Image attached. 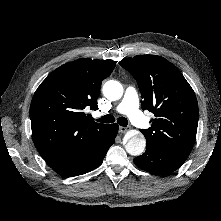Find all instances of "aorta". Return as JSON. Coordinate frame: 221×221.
Listing matches in <instances>:
<instances>
[{"instance_id": "aorta-1", "label": "aorta", "mask_w": 221, "mask_h": 221, "mask_svg": "<svg viewBox=\"0 0 221 221\" xmlns=\"http://www.w3.org/2000/svg\"><path fill=\"white\" fill-rule=\"evenodd\" d=\"M103 95L109 100H118L123 95V86L116 80H108L102 87ZM146 147V140L143 135L131 137L125 144L126 151L133 156L141 155Z\"/></svg>"}]
</instances>
